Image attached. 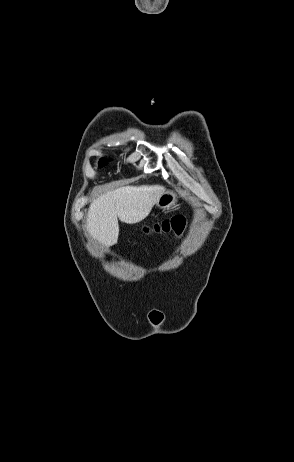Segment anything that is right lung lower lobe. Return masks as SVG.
Wrapping results in <instances>:
<instances>
[{"instance_id":"obj_1","label":"right lung lower lobe","mask_w":294,"mask_h":462,"mask_svg":"<svg viewBox=\"0 0 294 462\" xmlns=\"http://www.w3.org/2000/svg\"><path fill=\"white\" fill-rule=\"evenodd\" d=\"M107 162L105 161V159H101L100 163H99V166L102 167L104 165H106Z\"/></svg>"}]
</instances>
